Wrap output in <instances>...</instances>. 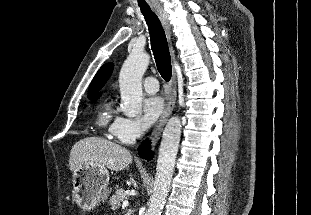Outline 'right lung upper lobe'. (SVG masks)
<instances>
[{
  "label": "right lung upper lobe",
  "instance_id": "cb5924a9",
  "mask_svg": "<svg viewBox=\"0 0 311 215\" xmlns=\"http://www.w3.org/2000/svg\"><path fill=\"white\" fill-rule=\"evenodd\" d=\"M113 70V64L107 63L104 64L95 77L93 78L89 90H88V98H96L100 96V93H97L105 82L108 80Z\"/></svg>",
  "mask_w": 311,
  "mask_h": 215
}]
</instances>
